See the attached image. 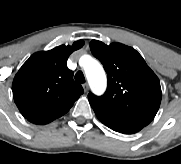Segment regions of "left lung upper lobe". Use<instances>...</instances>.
<instances>
[{"instance_id": "5c2ea615", "label": "left lung upper lobe", "mask_w": 181, "mask_h": 164, "mask_svg": "<svg viewBox=\"0 0 181 164\" xmlns=\"http://www.w3.org/2000/svg\"><path fill=\"white\" fill-rule=\"evenodd\" d=\"M90 49L103 64L108 78L107 90L102 96L88 94L93 110L107 111L147 126L161 103L158 77L132 47L121 43L108 46L92 40Z\"/></svg>"}]
</instances>
